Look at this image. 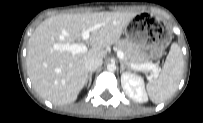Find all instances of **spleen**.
Wrapping results in <instances>:
<instances>
[{
    "label": "spleen",
    "instance_id": "3e777b00",
    "mask_svg": "<svg viewBox=\"0 0 203 123\" xmlns=\"http://www.w3.org/2000/svg\"><path fill=\"white\" fill-rule=\"evenodd\" d=\"M184 70L181 48L177 43L171 45L169 54L160 75L149 81L146 89L154 103L169 99L177 90Z\"/></svg>",
    "mask_w": 203,
    "mask_h": 123
}]
</instances>
